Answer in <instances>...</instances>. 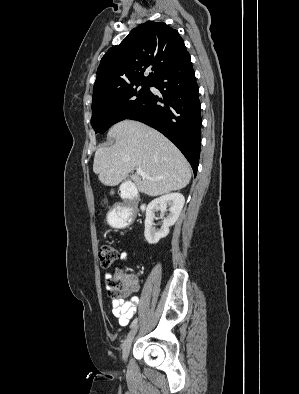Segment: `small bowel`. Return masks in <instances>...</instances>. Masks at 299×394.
<instances>
[{
	"instance_id": "c3829d8e",
	"label": "small bowel",
	"mask_w": 299,
	"mask_h": 394,
	"mask_svg": "<svg viewBox=\"0 0 299 394\" xmlns=\"http://www.w3.org/2000/svg\"><path fill=\"white\" fill-rule=\"evenodd\" d=\"M122 209V205L118 207V216ZM121 259H127L128 254L126 252L120 253ZM134 279L133 284V292H137L139 289L138 277L136 275H131ZM111 278L110 274H106L104 276V282L106 289H108L107 282ZM112 304V313L118 319V322L121 326H127L129 321L135 315L137 311V306L139 303V298L137 296H133L129 300H117L114 298H110Z\"/></svg>"
}]
</instances>
